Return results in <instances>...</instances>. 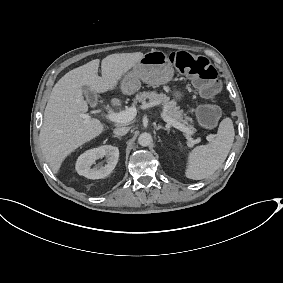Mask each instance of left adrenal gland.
<instances>
[{
  "mask_svg": "<svg viewBox=\"0 0 283 283\" xmlns=\"http://www.w3.org/2000/svg\"><path fill=\"white\" fill-rule=\"evenodd\" d=\"M155 129H156V131H158V130H160V129H162V130H164V131H169L167 128H164V127H162V126H160V125H155Z\"/></svg>",
  "mask_w": 283,
  "mask_h": 283,
  "instance_id": "left-adrenal-gland-1",
  "label": "left adrenal gland"
}]
</instances>
